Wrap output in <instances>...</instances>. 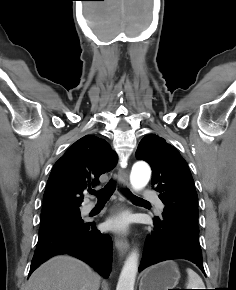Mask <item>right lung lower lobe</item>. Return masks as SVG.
I'll list each match as a JSON object with an SVG mask.
<instances>
[{"instance_id": "98d812e1", "label": "right lung lower lobe", "mask_w": 236, "mask_h": 290, "mask_svg": "<svg viewBox=\"0 0 236 290\" xmlns=\"http://www.w3.org/2000/svg\"><path fill=\"white\" fill-rule=\"evenodd\" d=\"M67 253L91 265L107 278L112 267V240L92 222L64 227L39 235L31 262V274L50 257Z\"/></svg>"}]
</instances>
